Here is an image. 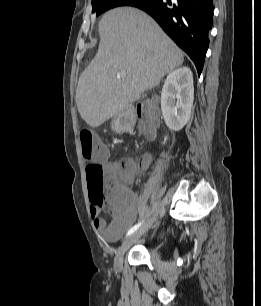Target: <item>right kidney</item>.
I'll return each mask as SVG.
<instances>
[{
	"label": "right kidney",
	"instance_id": "ca27d5eb",
	"mask_svg": "<svg viewBox=\"0 0 261 306\" xmlns=\"http://www.w3.org/2000/svg\"><path fill=\"white\" fill-rule=\"evenodd\" d=\"M194 99L193 74L187 67L171 72L161 92V110L167 127L181 130L188 122Z\"/></svg>",
	"mask_w": 261,
	"mask_h": 306
}]
</instances>
